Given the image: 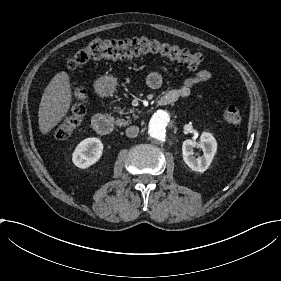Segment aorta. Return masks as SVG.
<instances>
[{"instance_id":"aorta-1","label":"aorta","mask_w":281,"mask_h":281,"mask_svg":"<svg viewBox=\"0 0 281 281\" xmlns=\"http://www.w3.org/2000/svg\"><path fill=\"white\" fill-rule=\"evenodd\" d=\"M170 123L168 112L159 110L152 116L149 123V135L152 139L164 142Z\"/></svg>"}]
</instances>
